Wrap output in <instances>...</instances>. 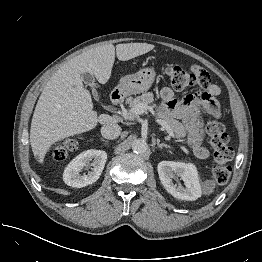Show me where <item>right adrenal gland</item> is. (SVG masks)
<instances>
[{
    "label": "right adrenal gland",
    "mask_w": 262,
    "mask_h": 262,
    "mask_svg": "<svg viewBox=\"0 0 262 262\" xmlns=\"http://www.w3.org/2000/svg\"><path fill=\"white\" fill-rule=\"evenodd\" d=\"M101 140L104 141L105 143H108V142H109V141H107V140H105V139H103V138H101Z\"/></svg>",
    "instance_id": "obj_1"
}]
</instances>
